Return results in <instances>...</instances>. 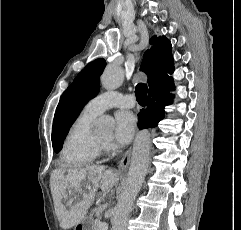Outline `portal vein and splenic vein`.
<instances>
[{
	"mask_svg": "<svg viewBox=\"0 0 241 230\" xmlns=\"http://www.w3.org/2000/svg\"><path fill=\"white\" fill-rule=\"evenodd\" d=\"M98 225L102 228V230L107 228V224L106 223H102L100 221H97Z\"/></svg>",
	"mask_w": 241,
	"mask_h": 230,
	"instance_id": "obj_1",
	"label": "portal vein and splenic vein"
}]
</instances>
